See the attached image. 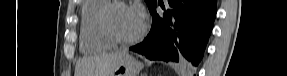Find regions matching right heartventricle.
<instances>
[{"label":"right heart ventricle","mask_w":287,"mask_h":76,"mask_svg":"<svg viewBox=\"0 0 287 76\" xmlns=\"http://www.w3.org/2000/svg\"><path fill=\"white\" fill-rule=\"evenodd\" d=\"M110 0H86L81 9L80 49L85 53H97L110 49L113 44L100 31L101 13Z\"/></svg>","instance_id":"1"}]
</instances>
